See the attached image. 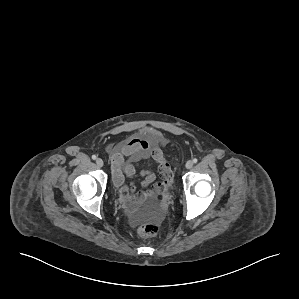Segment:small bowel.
I'll return each instance as SVG.
<instances>
[{"mask_svg":"<svg viewBox=\"0 0 299 299\" xmlns=\"http://www.w3.org/2000/svg\"><path fill=\"white\" fill-rule=\"evenodd\" d=\"M156 138L157 134L152 130H142L109 147L112 180L120 191L124 205L130 211H134L149 199L163 195L171 183V168L163 152L151 144ZM141 162L155 163L161 180L156 181L154 173L148 170L138 172L136 165ZM136 176L142 178L141 189L126 181V177Z\"/></svg>","mask_w":299,"mask_h":299,"instance_id":"obj_1","label":"small bowel"}]
</instances>
